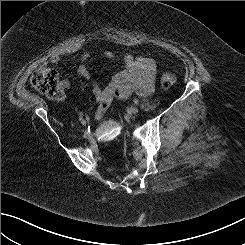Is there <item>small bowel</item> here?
I'll list each match as a JSON object with an SVG mask.
<instances>
[{
	"label": "small bowel",
	"mask_w": 245,
	"mask_h": 245,
	"mask_svg": "<svg viewBox=\"0 0 245 245\" xmlns=\"http://www.w3.org/2000/svg\"><path fill=\"white\" fill-rule=\"evenodd\" d=\"M111 57V55H107ZM90 54L85 52L81 56L82 64L78 68V74L92 85L93 95L99 106L95 113L97 119H101L110 106L111 102L118 99H125L133 94L138 96L150 95L155 87L156 69L154 62L146 57H134L126 55L123 58V69L116 73L106 87H101L92 79L91 73L84 64L89 60ZM60 61L59 56H53L51 63L57 64ZM63 90L70 89V82L63 80L61 82Z\"/></svg>",
	"instance_id": "1"
}]
</instances>
